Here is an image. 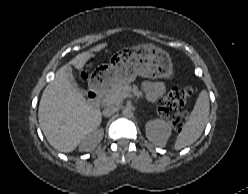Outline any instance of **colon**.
<instances>
[{
    "instance_id": "colon-1",
    "label": "colon",
    "mask_w": 248,
    "mask_h": 194,
    "mask_svg": "<svg viewBox=\"0 0 248 194\" xmlns=\"http://www.w3.org/2000/svg\"><path fill=\"white\" fill-rule=\"evenodd\" d=\"M90 77V72L84 70L81 73V78L87 80ZM193 94L191 87L174 86L169 94L161 100L159 106L160 114L166 118L176 130H181L187 120V112L181 110L187 105Z\"/></svg>"
}]
</instances>
